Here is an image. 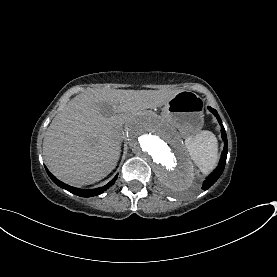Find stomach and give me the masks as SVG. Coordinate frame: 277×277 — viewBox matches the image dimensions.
<instances>
[{
	"label": "stomach",
	"instance_id": "stomach-1",
	"mask_svg": "<svg viewBox=\"0 0 277 277\" xmlns=\"http://www.w3.org/2000/svg\"><path fill=\"white\" fill-rule=\"evenodd\" d=\"M162 117L184 137L193 136L201 131L204 123L202 100L195 93L182 90L164 105Z\"/></svg>",
	"mask_w": 277,
	"mask_h": 277
}]
</instances>
